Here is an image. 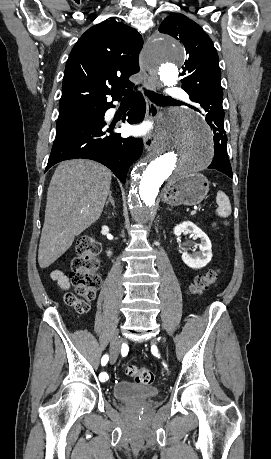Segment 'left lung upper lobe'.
<instances>
[{"mask_svg":"<svg viewBox=\"0 0 271 459\" xmlns=\"http://www.w3.org/2000/svg\"><path fill=\"white\" fill-rule=\"evenodd\" d=\"M159 32L179 40L186 51L185 66L180 74L184 89L192 101L201 99L204 111L224 114L219 57L212 40L194 21L183 14L169 15Z\"/></svg>","mask_w":271,"mask_h":459,"instance_id":"obj_1","label":"left lung upper lobe"}]
</instances>
